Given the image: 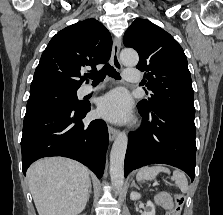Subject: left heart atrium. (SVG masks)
<instances>
[{
    "label": "left heart atrium",
    "mask_w": 223,
    "mask_h": 215,
    "mask_svg": "<svg viewBox=\"0 0 223 215\" xmlns=\"http://www.w3.org/2000/svg\"><path fill=\"white\" fill-rule=\"evenodd\" d=\"M131 100L121 89L112 91L99 101L100 114L112 121H124L129 117Z\"/></svg>",
    "instance_id": "obj_1"
}]
</instances>
